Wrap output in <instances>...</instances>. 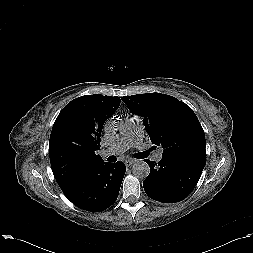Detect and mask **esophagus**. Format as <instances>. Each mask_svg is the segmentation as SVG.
Here are the masks:
<instances>
[{
	"label": "esophagus",
	"instance_id": "obj_1",
	"mask_svg": "<svg viewBox=\"0 0 253 253\" xmlns=\"http://www.w3.org/2000/svg\"><path fill=\"white\" fill-rule=\"evenodd\" d=\"M135 161H136L135 159L129 158L128 160L125 161V165H126L127 167H129V166H131L132 164H134Z\"/></svg>",
	"mask_w": 253,
	"mask_h": 253
}]
</instances>
